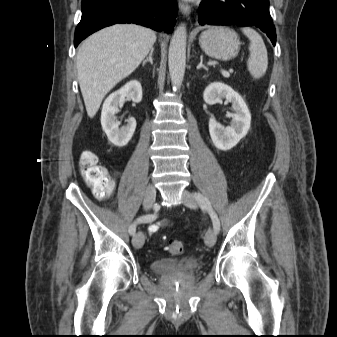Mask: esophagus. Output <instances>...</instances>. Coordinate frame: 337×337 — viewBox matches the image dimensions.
Returning <instances> with one entry per match:
<instances>
[{
  "instance_id": "obj_1",
  "label": "esophagus",
  "mask_w": 337,
  "mask_h": 337,
  "mask_svg": "<svg viewBox=\"0 0 337 337\" xmlns=\"http://www.w3.org/2000/svg\"><path fill=\"white\" fill-rule=\"evenodd\" d=\"M178 5H179V9L182 12V14L184 16L188 17L190 15V13H191V7H190V5H188V4L184 3V2H181V1L179 2Z\"/></svg>"
}]
</instances>
